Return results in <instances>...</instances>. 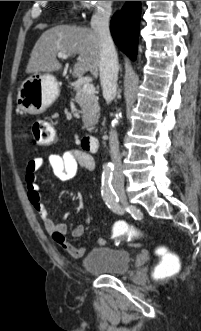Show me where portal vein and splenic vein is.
Here are the masks:
<instances>
[{
  "instance_id": "18ae733b",
  "label": "portal vein and splenic vein",
  "mask_w": 201,
  "mask_h": 331,
  "mask_svg": "<svg viewBox=\"0 0 201 331\" xmlns=\"http://www.w3.org/2000/svg\"><path fill=\"white\" fill-rule=\"evenodd\" d=\"M57 56L61 59H67L68 58V56L63 54V53H58ZM82 89L86 94H94L95 93V87L93 86V84H91L89 82L84 83Z\"/></svg>"
}]
</instances>
